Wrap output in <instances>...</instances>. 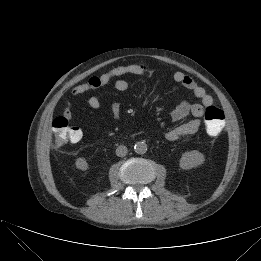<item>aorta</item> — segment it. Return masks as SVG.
<instances>
[{"label": "aorta", "mask_w": 261, "mask_h": 261, "mask_svg": "<svg viewBox=\"0 0 261 261\" xmlns=\"http://www.w3.org/2000/svg\"><path fill=\"white\" fill-rule=\"evenodd\" d=\"M134 150L137 154L143 155L147 152V144L145 142H137L134 146Z\"/></svg>", "instance_id": "1"}]
</instances>
